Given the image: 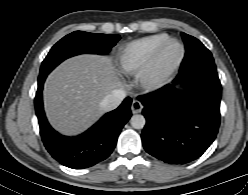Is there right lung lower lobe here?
I'll list each match as a JSON object with an SVG mask.
<instances>
[{
	"mask_svg": "<svg viewBox=\"0 0 248 195\" xmlns=\"http://www.w3.org/2000/svg\"><path fill=\"white\" fill-rule=\"evenodd\" d=\"M46 76L38 78L35 111L47 151L62 165L73 169L88 168L106 159L114 150L123 126L131 117L132 99L127 97L117 109L105 114L83 134L63 136L49 125L44 113L42 89Z\"/></svg>",
	"mask_w": 248,
	"mask_h": 195,
	"instance_id": "98d812e1",
	"label": "right lung lower lobe"
}]
</instances>
